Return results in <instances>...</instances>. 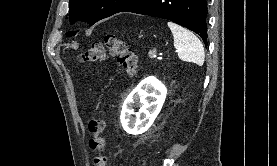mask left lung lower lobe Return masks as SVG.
<instances>
[{
  "mask_svg": "<svg viewBox=\"0 0 277 166\" xmlns=\"http://www.w3.org/2000/svg\"><path fill=\"white\" fill-rule=\"evenodd\" d=\"M120 12H132L173 21L207 42L206 0H135Z\"/></svg>",
  "mask_w": 277,
  "mask_h": 166,
  "instance_id": "obj_1",
  "label": "left lung lower lobe"
}]
</instances>
